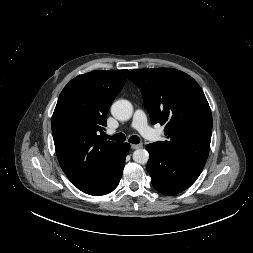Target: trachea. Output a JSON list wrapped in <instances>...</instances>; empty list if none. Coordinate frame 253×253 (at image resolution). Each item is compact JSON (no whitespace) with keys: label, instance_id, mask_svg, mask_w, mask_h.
<instances>
[{"label":"trachea","instance_id":"3493384b","mask_svg":"<svg viewBox=\"0 0 253 253\" xmlns=\"http://www.w3.org/2000/svg\"><path fill=\"white\" fill-rule=\"evenodd\" d=\"M105 138L113 140V141H119V142H123L126 140V137L123 133H117L113 136L105 135ZM128 141L133 144H138L140 142V138L138 136L133 135L129 138Z\"/></svg>","mask_w":253,"mask_h":253}]
</instances>
